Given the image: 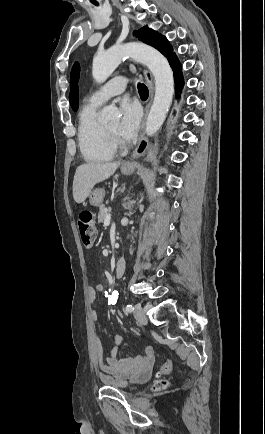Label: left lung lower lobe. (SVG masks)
Returning a JSON list of instances; mask_svg holds the SVG:
<instances>
[{
	"label": "left lung lower lobe",
	"instance_id": "obj_1",
	"mask_svg": "<svg viewBox=\"0 0 265 434\" xmlns=\"http://www.w3.org/2000/svg\"><path fill=\"white\" fill-rule=\"evenodd\" d=\"M170 65L174 71V78H175V83H176V90L177 92H180L181 87L184 84L183 81V76H182V72H181V64L179 62V60L177 59L176 56H174L171 60H170ZM179 97V95H177V98Z\"/></svg>",
	"mask_w": 265,
	"mask_h": 434
}]
</instances>
